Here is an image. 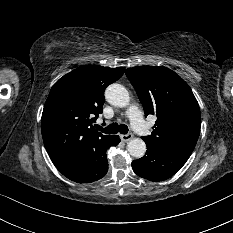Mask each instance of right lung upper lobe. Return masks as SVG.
<instances>
[{
	"label": "right lung upper lobe",
	"mask_w": 233,
	"mask_h": 233,
	"mask_svg": "<svg viewBox=\"0 0 233 233\" xmlns=\"http://www.w3.org/2000/svg\"><path fill=\"white\" fill-rule=\"evenodd\" d=\"M125 68L79 67L51 88L42 113V137L53 163L104 146L111 135L92 126L102 113L105 88Z\"/></svg>",
	"instance_id": "1"
}]
</instances>
